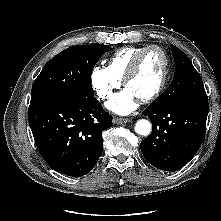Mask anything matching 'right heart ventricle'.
Masks as SVG:
<instances>
[{
    "label": "right heart ventricle",
    "instance_id": "e07e8e85",
    "mask_svg": "<svg viewBox=\"0 0 221 221\" xmlns=\"http://www.w3.org/2000/svg\"><path fill=\"white\" fill-rule=\"evenodd\" d=\"M144 47H123L110 57L108 62V69L110 72L117 77L118 79L122 80L126 71L128 70L133 58L137 53H139Z\"/></svg>",
    "mask_w": 221,
    "mask_h": 221
}]
</instances>
